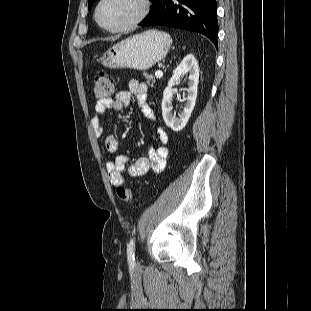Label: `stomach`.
Returning a JSON list of instances; mask_svg holds the SVG:
<instances>
[{"instance_id": "0dacf381", "label": "stomach", "mask_w": 311, "mask_h": 311, "mask_svg": "<svg viewBox=\"0 0 311 311\" xmlns=\"http://www.w3.org/2000/svg\"><path fill=\"white\" fill-rule=\"evenodd\" d=\"M171 43L167 33L151 29L113 45L104 53L100 62L110 69L147 70L165 58Z\"/></svg>"}]
</instances>
